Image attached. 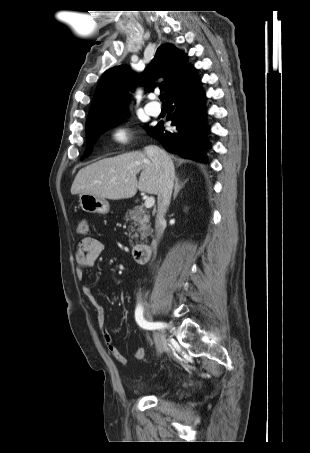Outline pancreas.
Listing matches in <instances>:
<instances>
[{"label":"pancreas","instance_id":"1","mask_svg":"<svg viewBox=\"0 0 310 453\" xmlns=\"http://www.w3.org/2000/svg\"><path fill=\"white\" fill-rule=\"evenodd\" d=\"M124 220L130 222V238H138V233L141 239L144 240L151 234L150 215L143 206H135L132 210H128L125 214ZM131 233H134L131 235Z\"/></svg>","mask_w":310,"mask_h":453}]
</instances>
